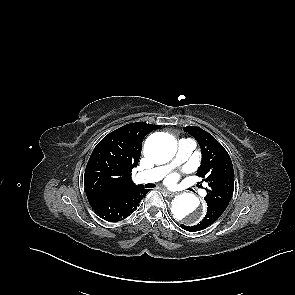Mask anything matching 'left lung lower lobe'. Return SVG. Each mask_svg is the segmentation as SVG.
I'll return each instance as SVG.
<instances>
[{"mask_svg": "<svg viewBox=\"0 0 295 295\" xmlns=\"http://www.w3.org/2000/svg\"><path fill=\"white\" fill-rule=\"evenodd\" d=\"M207 203V213L202 221L194 226H186L181 224V228L189 231L195 232L203 230L210 225H212L225 211L229 203L216 201V200H206Z\"/></svg>", "mask_w": 295, "mask_h": 295, "instance_id": "1", "label": "left lung lower lobe"}]
</instances>
